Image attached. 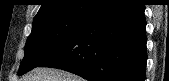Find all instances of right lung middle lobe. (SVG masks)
Segmentation results:
<instances>
[{
  "label": "right lung middle lobe",
  "mask_w": 169,
  "mask_h": 81,
  "mask_svg": "<svg viewBox=\"0 0 169 81\" xmlns=\"http://www.w3.org/2000/svg\"><path fill=\"white\" fill-rule=\"evenodd\" d=\"M87 20L83 17L62 15L33 21L18 74L22 75L38 67L61 48Z\"/></svg>",
  "instance_id": "1"
}]
</instances>
